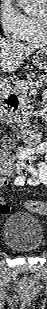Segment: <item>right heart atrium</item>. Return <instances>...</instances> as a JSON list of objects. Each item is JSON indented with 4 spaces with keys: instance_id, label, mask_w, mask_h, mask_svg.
I'll list each match as a JSON object with an SVG mask.
<instances>
[{
    "instance_id": "obj_1",
    "label": "right heart atrium",
    "mask_w": 47,
    "mask_h": 309,
    "mask_svg": "<svg viewBox=\"0 0 47 309\" xmlns=\"http://www.w3.org/2000/svg\"><path fill=\"white\" fill-rule=\"evenodd\" d=\"M0 22L6 36L19 39L24 31V15L14 0H0Z\"/></svg>"
}]
</instances>
